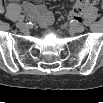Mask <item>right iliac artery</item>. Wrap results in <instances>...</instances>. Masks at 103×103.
<instances>
[{
    "mask_svg": "<svg viewBox=\"0 0 103 103\" xmlns=\"http://www.w3.org/2000/svg\"><path fill=\"white\" fill-rule=\"evenodd\" d=\"M24 18H25V17H24L23 15H21V16H19V18H18V19H19L20 21H23V20H24Z\"/></svg>",
    "mask_w": 103,
    "mask_h": 103,
    "instance_id": "obj_1",
    "label": "right iliac artery"
}]
</instances>
